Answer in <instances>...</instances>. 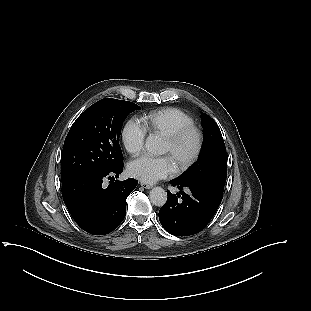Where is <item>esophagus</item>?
<instances>
[{"label": "esophagus", "mask_w": 311, "mask_h": 311, "mask_svg": "<svg viewBox=\"0 0 311 311\" xmlns=\"http://www.w3.org/2000/svg\"><path fill=\"white\" fill-rule=\"evenodd\" d=\"M140 185L145 189H151L153 187L151 184H147L144 182H141Z\"/></svg>", "instance_id": "34e87169"}]
</instances>
